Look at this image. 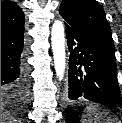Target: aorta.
Instances as JSON below:
<instances>
[{
  "instance_id": "762f6f07",
  "label": "aorta",
  "mask_w": 122,
  "mask_h": 123,
  "mask_svg": "<svg viewBox=\"0 0 122 123\" xmlns=\"http://www.w3.org/2000/svg\"><path fill=\"white\" fill-rule=\"evenodd\" d=\"M51 43L56 76L62 80L65 73V33L61 21L54 22L51 31Z\"/></svg>"
}]
</instances>
